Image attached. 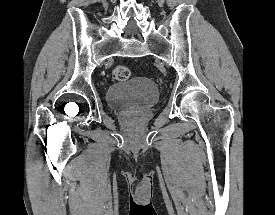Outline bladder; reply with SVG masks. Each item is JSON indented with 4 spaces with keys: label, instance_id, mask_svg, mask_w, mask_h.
Wrapping results in <instances>:
<instances>
[{
    "label": "bladder",
    "instance_id": "obj_1",
    "mask_svg": "<svg viewBox=\"0 0 275 215\" xmlns=\"http://www.w3.org/2000/svg\"><path fill=\"white\" fill-rule=\"evenodd\" d=\"M105 99L116 110L145 109L158 102L159 91L151 79L135 77L109 85Z\"/></svg>",
    "mask_w": 275,
    "mask_h": 215
}]
</instances>
